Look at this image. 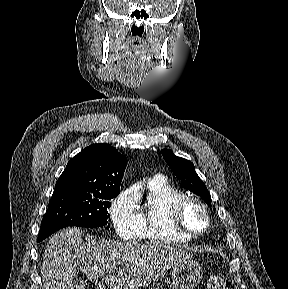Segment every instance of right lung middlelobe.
I'll return each mask as SVG.
<instances>
[{
  "label": "right lung middle lobe",
  "mask_w": 288,
  "mask_h": 289,
  "mask_svg": "<svg viewBox=\"0 0 288 289\" xmlns=\"http://www.w3.org/2000/svg\"><path fill=\"white\" fill-rule=\"evenodd\" d=\"M119 193V190L114 189L98 192H53L37 240L42 241L67 226L96 228L105 225L109 217V201Z\"/></svg>",
  "instance_id": "right-lung-middle-lobe-1"
}]
</instances>
